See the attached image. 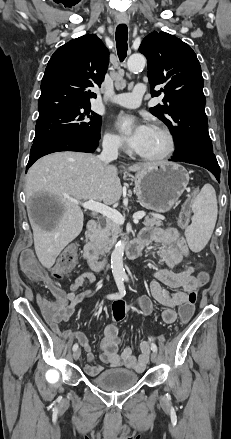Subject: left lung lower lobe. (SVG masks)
<instances>
[{"mask_svg":"<svg viewBox=\"0 0 231 439\" xmlns=\"http://www.w3.org/2000/svg\"><path fill=\"white\" fill-rule=\"evenodd\" d=\"M170 160L175 162H186L204 167L208 169L220 182V167L213 151L200 148H191L180 153H175Z\"/></svg>","mask_w":231,"mask_h":439,"instance_id":"1","label":"left lung lower lobe"}]
</instances>
